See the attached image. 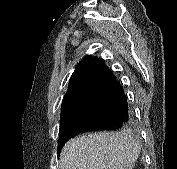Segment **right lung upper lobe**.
Wrapping results in <instances>:
<instances>
[{
    "label": "right lung upper lobe",
    "instance_id": "cb5924a9",
    "mask_svg": "<svg viewBox=\"0 0 177 169\" xmlns=\"http://www.w3.org/2000/svg\"><path fill=\"white\" fill-rule=\"evenodd\" d=\"M104 67L105 64L98 58L86 57L72 74L64 99L84 90L88 80Z\"/></svg>",
    "mask_w": 177,
    "mask_h": 169
}]
</instances>
